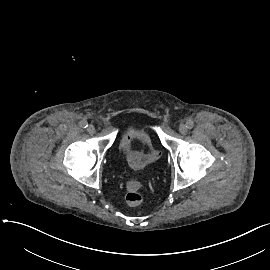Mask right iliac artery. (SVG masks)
Masks as SVG:
<instances>
[{"instance_id":"82829eb1","label":"right iliac artery","mask_w":270,"mask_h":270,"mask_svg":"<svg viewBox=\"0 0 270 270\" xmlns=\"http://www.w3.org/2000/svg\"><path fill=\"white\" fill-rule=\"evenodd\" d=\"M80 126L82 127V128H87L88 127V123H87V121H81L80 122Z\"/></svg>"}]
</instances>
